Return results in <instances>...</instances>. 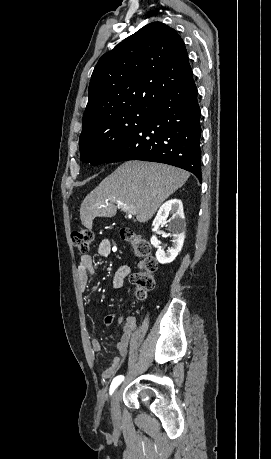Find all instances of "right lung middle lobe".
I'll return each instance as SVG.
<instances>
[{
  "label": "right lung middle lobe",
  "mask_w": 271,
  "mask_h": 459,
  "mask_svg": "<svg viewBox=\"0 0 271 459\" xmlns=\"http://www.w3.org/2000/svg\"><path fill=\"white\" fill-rule=\"evenodd\" d=\"M152 111L153 106L140 105L84 122L79 140L81 160L93 165L107 162Z\"/></svg>",
  "instance_id": "dd1d6c3e"
}]
</instances>
